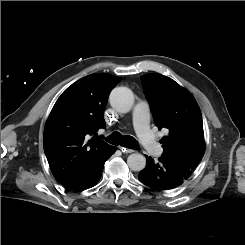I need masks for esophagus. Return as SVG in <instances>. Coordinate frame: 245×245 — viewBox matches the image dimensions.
<instances>
[{"mask_svg":"<svg viewBox=\"0 0 245 245\" xmlns=\"http://www.w3.org/2000/svg\"><path fill=\"white\" fill-rule=\"evenodd\" d=\"M119 149H120L123 153H132V152H134L133 149H129V148H126V147H123V146H119Z\"/></svg>","mask_w":245,"mask_h":245,"instance_id":"1","label":"esophagus"}]
</instances>
